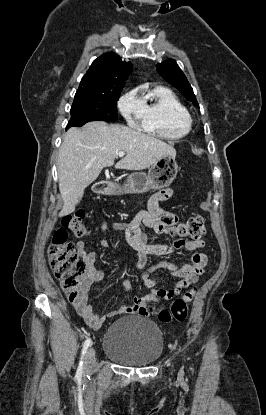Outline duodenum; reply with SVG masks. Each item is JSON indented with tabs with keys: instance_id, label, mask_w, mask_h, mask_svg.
I'll return each mask as SVG.
<instances>
[{
	"instance_id": "duodenum-1",
	"label": "duodenum",
	"mask_w": 266,
	"mask_h": 415,
	"mask_svg": "<svg viewBox=\"0 0 266 415\" xmlns=\"http://www.w3.org/2000/svg\"><path fill=\"white\" fill-rule=\"evenodd\" d=\"M109 183L107 181H100L94 184L93 190L97 194H105L108 189Z\"/></svg>"
}]
</instances>
